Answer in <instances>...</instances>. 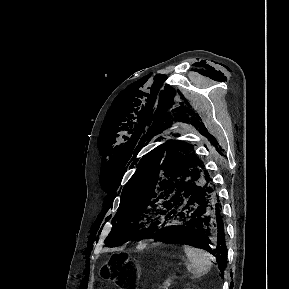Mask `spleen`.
<instances>
[{"label":"spleen","mask_w":289,"mask_h":289,"mask_svg":"<svg viewBox=\"0 0 289 289\" xmlns=\"http://www.w3.org/2000/svg\"><path fill=\"white\" fill-rule=\"evenodd\" d=\"M183 249L189 260L187 269L195 277H200L210 270L212 263L211 255L208 252L189 245H183Z\"/></svg>","instance_id":"3e777b00"}]
</instances>
